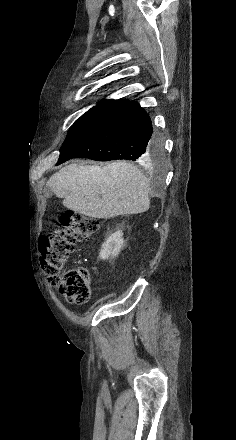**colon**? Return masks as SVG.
I'll list each match as a JSON object with an SVG mask.
<instances>
[{
	"label": "colon",
	"instance_id": "colon-1",
	"mask_svg": "<svg viewBox=\"0 0 236 440\" xmlns=\"http://www.w3.org/2000/svg\"><path fill=\"white\" fill-rule=\"evenodd\" d=\"M99 229V222L79 213L66 211L58 228L41 239V265L51 285L75 304H85L91 295V277L82 266L67 268L69 258L77 245L90 239Z\"/></svg>",
	"mask_w": 236,
	"mask_h": 440
}]
</instances>
